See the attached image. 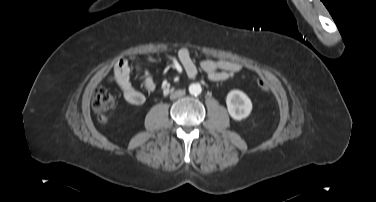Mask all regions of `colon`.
<instances>
[{"mask_svg": "<svg viewBox=\"0 0 376 202\" xmlns=\"http://www.w3.org/2000/svg\"><path fill=\"white\" fill-rule=\"evenodd\" d=\"M257 86L262 91L269 90L268 81L262 77L257 79ZM114 104L115 99L112 93L105 87L99 88L93 95L92 108L103 123H106L108 121Z\"/></svg>", "mask_w": 376, "mask_h": 202, "instance_id": "colon-1", "label": "colon"}]
</instances>
